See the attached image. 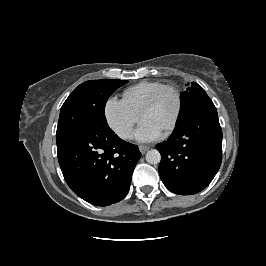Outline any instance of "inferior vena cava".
<instances>
[{"label":"inferior vena cava","mask_w":266,"mask_h":266,"mask_svg":"<svg viewBox=\"0 0 266 266\" xmlns=\"http://www.w3.org/2000/svg\"><path fill=\"white\" fill-rule=\"evenodd\" d=\"M124 137H125V138H130V137H132V131H131V130H127V131H125V132H124Z\"/></svg>","instance_id":"inferior-vena-cava-1"}]
</instances>
